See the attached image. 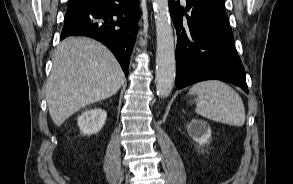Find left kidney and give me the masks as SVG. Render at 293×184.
<instances>
[{"mask_svg":"<svg viewBox=\"0 0 293 184\" xmlns=\"http://www.w3.org/2000/svg\"><path fill=\"white\" fill-rule=\"evenodd\" d=\"M189 135L200 145L209 143L211 137V129L207 122L193 119L187 127Z\"/></svg>","mask_w":293,"mask_h":184,"instance_id":"obj_1","label":"left kidney"}]
</instances>
